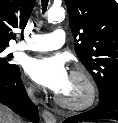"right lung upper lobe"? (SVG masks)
I'll list each match as a JSON object with an SVG mask.
<instances>
[{
	"mask_svg": "<svg viewBox=\"0 0 118 123\" xmlns=\"http://www.w3.org/2000/svg\"><path fill=\"white\" fill-rule=\"evenodd\" d=\"M35 0H0V48H7L16 36L12 29H24Z\"/></svg>",
	"mask_w": 118,
	"mask_h": 123,
	"instance_id": "1",
	"label": "right lung upper lobe"
}]
</instances>
